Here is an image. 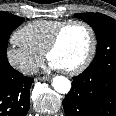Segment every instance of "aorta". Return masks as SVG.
Returning a JSON list of instances; mask_svg holds the SVG:
<instances>
[{
	"mask_svg": "<svg viewBox=\"0 0 116 116\" xmlns=\"http://www.w3.org/2000/svg\"><path fill=\"white\" fill-rule=\"evenodd\" d=\"M54 90L60 94H66L71 89V82L64 76H55L52 80Z\"/></svg>",
	"mask_w": 116,
	"mask_h": 116,
	"instance_id": "762f6f07",
	"label": "aorta"
}]
</instances>
